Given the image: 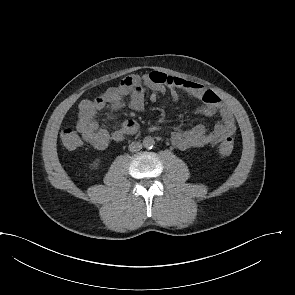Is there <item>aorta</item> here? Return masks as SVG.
Masks as SVG:
<instances>
[{
    "mask_svg": "<svg viewBox=\"0 0 295 295\" xmlns=\"http://www.w3.org/2000/svg\"><path fill=\"white\" fill-rule=\"evenodd\" d=\"M155 144V141L152 137L148 136L143 139V146L145 148H152Z\"/></svg>",
    "mask_w": 295,
    "mask_h": 295,
    "instance_id": "1",
    "label": "aorta"
}]
</instances>
